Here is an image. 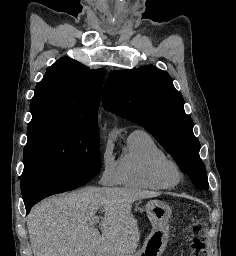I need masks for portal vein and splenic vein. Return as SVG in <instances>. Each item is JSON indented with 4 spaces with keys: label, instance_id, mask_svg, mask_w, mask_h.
Listing matches in <instances>:
<instances>
[{
    "label": "portal vein and splenic vein",
    "instance_id": "1",
    "mask_svg": "<svg viewBox=\"0 0 236 256\" xmlns=\"http://www.w3.org/2000/svg\"><path fill=\"white\" fill-rule=\"evenodd\" d=\"M102 218L100 216H93L91 220H89V226L93 228V226H97L98 222H101Z\"/></svg>",
    "mask_w": 236,
    "mask_h": 256
}]
</instances>
